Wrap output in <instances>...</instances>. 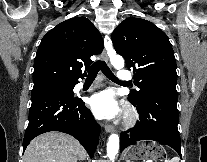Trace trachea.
Wrapping results in <instances>:
<instances>
[{"label": "trachea", "mask_w": 207, "mask_h": 162, "mask_svg": "<svg viewBox=\"0 0 207 162\" xmlns=\"http://www.w3.org/2000/svg\"><path fill=\"white\" fill-rule=\"evenodd\" d=\"M101 69L103 74L112 81L121 82L109 69L104 61H97L87 69V79H95L98 71Z\"/></svg>", "instance_id": "obj_1"}]
</instances>
